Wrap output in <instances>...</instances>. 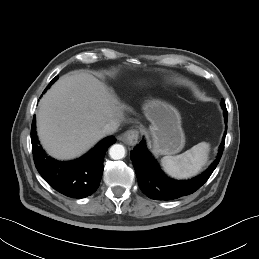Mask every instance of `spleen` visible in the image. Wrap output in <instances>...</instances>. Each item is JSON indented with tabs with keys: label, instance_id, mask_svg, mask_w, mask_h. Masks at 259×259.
<instances>
[{
	"label": "spleen",
	"instance_id": "obj_1",
	"mask_svg": "<svg viewBox=\"0 0 259 259\" xmlns=\"http://www.w3.org/2000/svg\"><path fill=\"white\" fill-rule=\"evenodd\" d=\"M210 145L200 142L177 156H164L161 164L165 172L179 179L196 175L208 161Z\"/></svg>",
	"mask_w": 259,
	"mask_h": 259
}]
</instances>
